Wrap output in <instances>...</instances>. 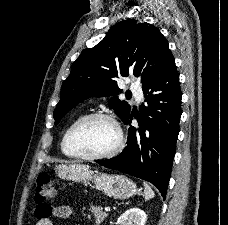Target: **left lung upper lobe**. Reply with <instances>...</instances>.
<instances>
[{"label":"left lung upper lobe","mask_w":228,"mask_h":225,"mask_svg":"<svg viewBox=\"0 0 228 225\" xmlns=\"http://www.w3.org/2000/svg\"><path fill=\"white\" fill-rule=\"evenodd\" d=\"M172 55L160 30L146 22L127 19L115 24L105 38L83 51L71 66L61 87V98L54 111L55 124L78 103L91 96H110L121 91L115 79L133 73L142 85L151 81ZM108 105L124 122L130 105L117 97Z\"/></svg>","instance_id":"5c2ea615"}]
</instances>
